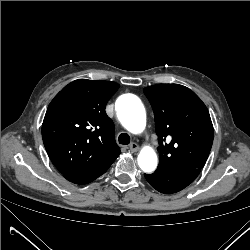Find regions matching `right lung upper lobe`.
<instances>
[{
  "label": "right lung upper lobe",
  "instance_id": "obj_1",
  "mask_svg": "<svg viewBox=\"0 0 250 250\" xmlns=\"http://www.w3.org/2000/svg\"><path fill=\"white\" fill-rule=\"evenodd\" d=\"M119 85L78 79L51 101L42 124L49 158L63 176L97 169L120 154L107 101Z\"/></svg>",
  "mask_w": 250,
  "mask_h": 250
}]
</instances>
